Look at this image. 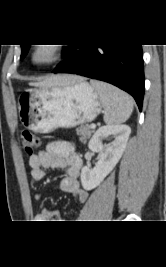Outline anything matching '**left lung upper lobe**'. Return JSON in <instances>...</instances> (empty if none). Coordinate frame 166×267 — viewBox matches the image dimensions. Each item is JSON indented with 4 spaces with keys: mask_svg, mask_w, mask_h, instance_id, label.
Here are the masks:
<instances>
[{
    "mask_svg": "<svg viewBox=\"0 0 166 267\" xmlns=\"http://www.w3.org/2000/svg\"><path fill=\"white\" fill-rule=\"evenodd\" d=\"M29 46L30 45H21V48H22L21 59H23L27 55V52L29 50ZM64 51H65V49L62 50V54Z\"/></svg>",
    "mask_w": 166,
    "mask_h": 267,
    "instance_id": "1",
    "label": "left lung upper lobe"
}]
</instances>
